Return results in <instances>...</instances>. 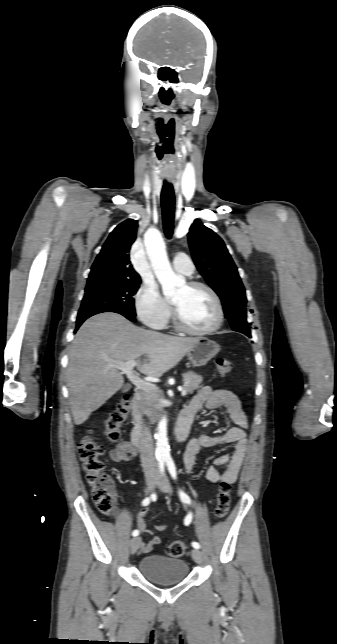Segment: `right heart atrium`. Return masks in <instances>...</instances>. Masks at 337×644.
<instances>
[{"label": "right heart atrium", "mask_w": 337, "mask_h": 644, "mask_svg": "<svg viewBox=\"0 0 337 644\" xmlns=\"http://www.w3.org/2000/svg\"><path fill=\"white\" fill-rule=\"evenodd\" d=\"M136 310L141 321L154 329L163 328L170 317V306L154 282L144 283L139 288Z\"/></svg>", "instance_id": "d8ad5b80"}]
</instances>
